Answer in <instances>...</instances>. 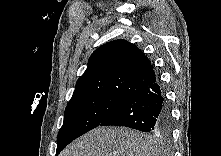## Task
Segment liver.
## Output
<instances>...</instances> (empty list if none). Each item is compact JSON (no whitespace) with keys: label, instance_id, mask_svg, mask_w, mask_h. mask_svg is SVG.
<instances>
[{"label":"liver","instance_id":"6515ba94","mask_svg":"<svg viewBox=\"0 0 221 156\" xmlns=\"http://www.w3.org/2000/svg\"><path fill=\"white\" fill-rule=\"evenodd\" d=\"M153 136L126 127H98L67 146L60 156H161Z\"/></svg>","mask_w":221,"mask_h":156}]
</instances>
